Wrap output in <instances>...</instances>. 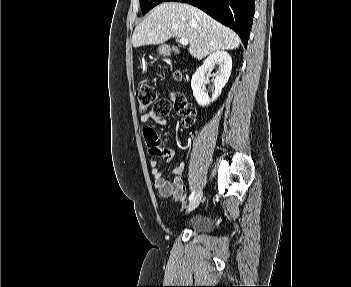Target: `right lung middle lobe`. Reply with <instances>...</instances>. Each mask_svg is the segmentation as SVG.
Wrapping results in <instances>:
<instances>
[{
	"mask_svg": "<svg viewBox=\"0 0 351 287\" xmlns=\"http://www.w3.org/2000/svg\"><path fill=\"white\" fill-rule=\"evenodd\" d=\"M141 5V10L143 13H147L152 8L157 6L158 4L164 2L165 0H139Z\"/></svg>",
	"mask_w": 351,
	"mask_h": 287,
	"instance_id": "obj_1",
	"label": "right lung middle lobe"
}]
</instances>
